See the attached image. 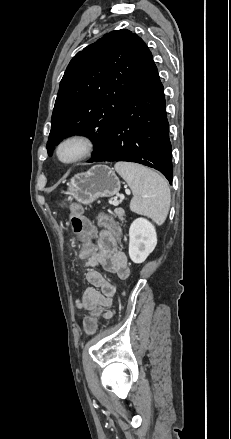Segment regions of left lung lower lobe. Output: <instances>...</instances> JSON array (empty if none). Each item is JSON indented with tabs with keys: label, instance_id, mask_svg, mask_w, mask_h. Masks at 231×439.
<instances>
[{
	"label": "left lung lower lobe",
	"instance_id": "obj_1",
	"mask_svg": "<svg viewBox=\"0 0 231 439\" xmlns=\"http://www.w3.org/2000/svg\"><path fill=\"white\" fill-rule=\"evenodd\" d=\"M171 151L164 89L152 59L100 153L89 162H136L159 170L172 183Z\"/></svg>",
	"mask_w": 231,
	"mask_h": 439
}]
</instances>
